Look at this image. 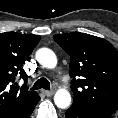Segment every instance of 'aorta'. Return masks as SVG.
Wrapping results in <instances>:
<instances>
[{
	"mask_svg": "<svg viewBox=\"0 0 118 118\" xmlns=\"http://www.w3.org/2000/svg\"><path fill=\"white\" fill-rule=\"evenodd\" d=\"M36 60L40 65L46 68H54L57 65L55 53L48 48H40L36 52ZM54 103L60 109H66L71 104V95L68 90L61 88L54 95Z\"/></svg>",
	"mask_w": 118,
	"mask_h": 118,
	"instance_id": "obj_1",
	"label": "aorta"
}]
</instances>
